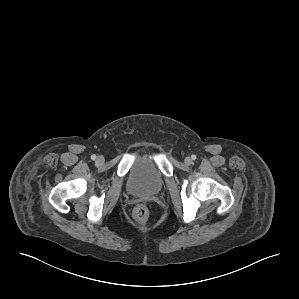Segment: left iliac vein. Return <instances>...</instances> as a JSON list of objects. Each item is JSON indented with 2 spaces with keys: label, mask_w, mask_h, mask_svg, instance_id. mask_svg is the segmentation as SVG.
<instances>
[{
  "label": "left iliac vein",
  "mask_w": 299,
  "mask_h": 299,
  "mask_svg": "<svg viewBox=\"0 0 299 299\" xmlns=\"http://www.w3.org/2000/svg\"><path fill=\"white\" fill-rule=\"evenodd\" d=\"M184 162H185L186 165H190L192 163V159L190 157H186L184 159Z\"/></svg>",
  "instance_id": "1"
}]
</instances>
